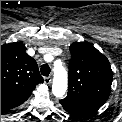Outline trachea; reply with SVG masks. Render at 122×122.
<instances>
[{"instance_id": "trachea-1", "label": "trachea", "mask_w": 122, "mask_h": 122, "mask_svg": "<svg viewBox=\"0 0 122 122\" xmlns=\"http://www.w3.org/2000/svg\"><path fill=\"white\" fill-rule=\"evenodd\" d=\"M40 71H41V74L43 76H46L47 77V76H49L51 69H50V67L47 64H43L41 66Z\"/></svg>"}]
</instances>
